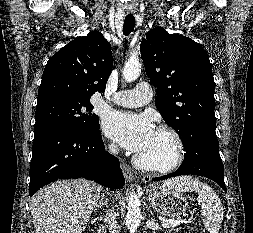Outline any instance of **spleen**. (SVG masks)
<instances>
[{
  "label": "spleen",
  "instance_id": "spleen-1",
  "mask_svg": "<svg viewBox=\"0 0 253 233\" xmlns=\"http://www.w3.org/2000/svg\"><path fill=\"white\" fill-rule=\"evenodd\" d=\"M164 186L179 192H197V201L203 211L205 228L210 233L219 232L223 221V206L219 196L209 185L197 178L192 179L191 176H183L166 181Z\"/></svg>",
  "mask_w": 253,
  "mask_h": 233
}]
</instances>
